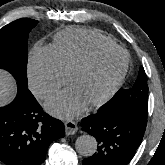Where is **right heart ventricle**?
Here are the masks:
<instances>
[{
	"label": "right heart ventricle",
	"mask_w": 165,
	"mask_h": 165,
	"mask_svg": "<svg viewBox=\"0 0 165 165\" xmlns=\"http://www.w3.org/2000/svg\"><path fill=\"white\" fill-rule=\"evenodd\" d=\"M115 44L111 38L98 30L69 28L54 37L51 49L63 70L70 74L74 66L92 49Z\"/></svg>",
	"instance_id": "obj_1"
}]
</instances>
